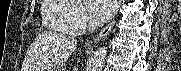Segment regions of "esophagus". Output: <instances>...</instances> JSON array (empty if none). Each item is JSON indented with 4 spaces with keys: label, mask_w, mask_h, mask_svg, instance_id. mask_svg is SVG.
Returning <instances> with one entry per match:
<instances>
[{
    "label": "esophagus",
    "mask_w": 181,
    "mask_h": 71,
    "mask_svg": "<svg viewBox=\"0 0 181 71\" xmlns=\"http://www.w3.org/2000/svg\"><path fill=\"white\" fill-rule=\"evenodd\" d=\"M115 24V20H113L112 22H110L106 27H104L99 34H97L92 42L93 43H98L100 42L105 36H107L109 34V32L112 30L113 26Z\"/></svg>",
    "instance_id": "obj_1"
}]
</instances>
